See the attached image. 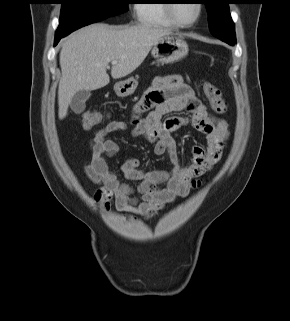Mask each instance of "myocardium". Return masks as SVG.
Segmentation results:
<instances>
[{"instance_id":"1","label":"myocardium","mask_w":290,"mask_h":321,"mask_svg":"<svg viewBox=\"0 0 290 321\" xmlns=\"http://www.w3.org/2000/svg\"><path fill=\"white\" fill-rule=\"evenodd\" d=\"M173 1L174 0H167L166 10H167V14H168L169 18L172 20V22L175 25H177L179 27H191L199 21V19L202 16V13H203V4L200 1H196L197 15H196L195 19H193L190 22H183L175 15L174 9H175L176 3H174Z\"/></svg>"}]
</instances>
